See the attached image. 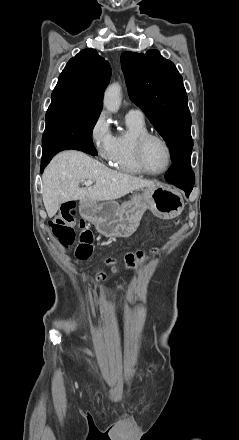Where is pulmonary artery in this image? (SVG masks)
<instances>
[{"mask_svg": "<svg viewBox=\"0 0 239 440\" xmlns=\"http://www.w3.org/2000/svg\"><path fill=\"white\" fill-rule=\"evenodd\" d=\"M126 116L136 120H144V113L138 107H130L127 111Z\"/></svg>", "mask_w": 239, "mask_h": 440, "instance_id": "e3ab8cb5", "label": "pulmonary artery"}]
</instances>
